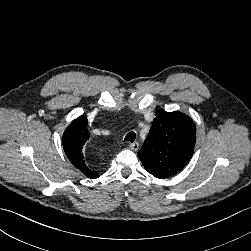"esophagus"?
I'll return each instance as SVG.
<instances>
[{
	"mask_svg": "<svg viewBox=\"0 0 251 251\" xmlns=\"http://www.w3.org/2000/svg\"><path fill=\"white\" fill-rule=\"evenodd\" d=\"M130 148L134 151H137L139 148V144L137 142H134L130 145Z\"/></svg>",
	"mask_w": 251,
	"mask_h": 251,
	"instance_id": "esophagus-1",
	"label": "esophagus"
}]
</instances>
